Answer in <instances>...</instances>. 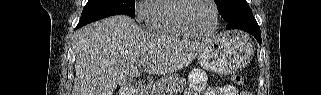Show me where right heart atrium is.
I'll return each instance as SVG.
<instances>
[{
    "mask_svg": "<svg viewBox=\"0 0 321 95\" xmlns=\"http://www.w3.org/2000/svg\"><path fill=\"white\" fill-rule=\"evenodd\" d=\"M154 0L138 1L135 4L134 14L139 23H147L151 15Z\"/></svg>",
    "mask_w": 321,
    "mask_h": 95,
    "instance_id": "1",
    "label": "right heart atrium"
}]
</instances>
